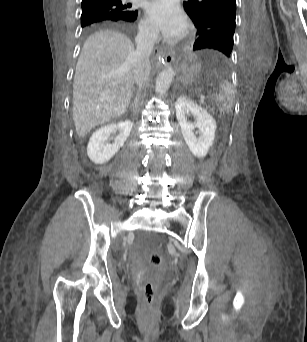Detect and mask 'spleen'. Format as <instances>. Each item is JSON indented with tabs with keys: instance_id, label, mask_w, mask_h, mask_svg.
I'll use <instances>...</instances> for the list:
<instances>
[{
	"instance_id": "3e777b00",
	"label": "spleen",
	"mask_w": 307,
	"mask_h": 342,
	"mask_svg": "<svg viewBox=\"0 0 307 342\" xmlns=\"http://www.w3.org/2000/svg\"><path fill=\"white\" fill-rule=\"evenodd\" d=\"M234 92L233 86L229 80H223L220 84V92L218 96L219 110L221 114H232Z\"/></svg>"
}]
</instances>
